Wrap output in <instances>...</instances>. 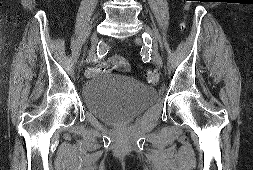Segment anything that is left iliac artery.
Instances as JSON below:
<instances>
[{
  "label": "left iliac artery",
  "instance_id": "44dca946",
  "mask_svg": "<svg viewBox=\"0 0 253 170\" xmlns=\"http://www.w3.org/2000/svg\"><path fill=\"white\" fill-rule=\"evenodd\" d=\"M142 38H143L145 45H147V44H150V46L152 45V39H151L150 35H148L147 33H144L142 35Z\"/></svg>",
  "mask_w": 253,
  "mask_h": 170
}]
</instances>
